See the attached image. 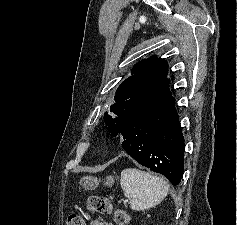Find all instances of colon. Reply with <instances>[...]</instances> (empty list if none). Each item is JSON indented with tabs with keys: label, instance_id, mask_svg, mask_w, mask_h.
Instances as JSON below:
<instances>
[{
	"label": "colon",
	"instance_id": "5ec220e1",
	"mask_svg": "<svg viewBox=\"0 0 237 225\" xmlns=\"http://www.w3.org/2000/svg\"><path fill=\"white\" fill-rule=\"evenodd\" d=\"M87 208L91 212L102 215H112L117 225H130L129 214L114 204L104 196H90L87 200ZM66 225H85L84 219L78 214H70L67 217Z\"/></svg>",
	"mask_w": 237,
	"mask_h": 225
}]
</instances>
